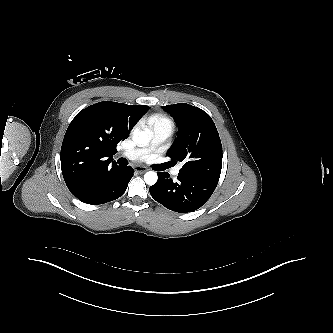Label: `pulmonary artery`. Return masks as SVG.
<instances>
[{"label": "pulmonary artery", "mask_w": 333, "mask_h": 333, "mask_svg": "<svg viewBox=\"0 0 333 333\" xmlns=\"http://www.w3.org/2000/svg\"><path fill=\"white\" fill-rule=\"evenodd\" d=\"M173 126L171 123H162L153 127V136L149 147L142 149H131L122 152V157L139 161L145 159L152 151L157 150L164 143V141L171 135ZM180 168H175L172 173L178 175Z\"/></svg>", "instance_id": "e3ab8cb5"}]
</instances>
